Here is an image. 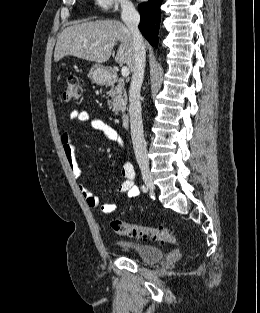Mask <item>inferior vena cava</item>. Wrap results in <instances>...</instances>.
Segmentation results:
<instances>
[{"label":"inferior vena cava","instance_id":"602c4592","mask_svg":"<svg viewBox=\"0 0 260 313\" xmlns=\"http://www.w3.org/2000/svg\"><path fill=\"white\" fill-rule=\"evenodd\" d=\"M121 9V19L130 30L134 50V68L129 89V114L133 149L138 165L140 167H148L149 159L143 134L140 103V90L143 83L146 61L145 45L138 29L140 15L130 2H123Z\"/></svg>","mask_w":260,"mask_h":313}]
</instances>
